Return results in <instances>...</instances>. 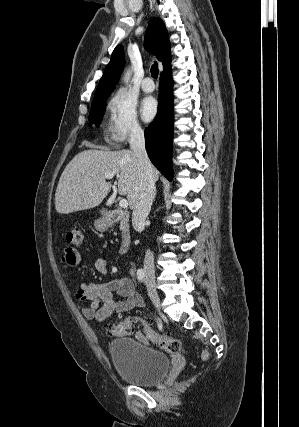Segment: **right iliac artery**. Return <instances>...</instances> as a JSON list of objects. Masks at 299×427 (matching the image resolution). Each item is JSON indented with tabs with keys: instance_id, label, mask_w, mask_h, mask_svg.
I'll return each instance as SVG.
<instances>
[{
	"instance_id": "1",
	"label": "right iliac artery",
	"mask_w": 299,
	"mask_h": 427,
	"mask_svg": "<svg viewBox=\"0 0 299 427\" xmlns=\"http://www.w3.org/2000/svg\"><path fill=\"white\" fill-rule=\"evenodd\" d=\"M136 274H137L138 280L142 282L144 278V271L142 269H138Z\"/></svg>"
}]
</instances>
